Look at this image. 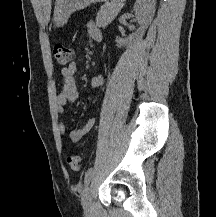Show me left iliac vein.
Here are the masks:
<instances>
[{
    "label": "left iliac vein",
    "mask_w": 216,
    "mask_h": 217,
    "mask_svg": "<svg viewBox=\"0 0 216 217\" xmlns=\"http://www.w3.org/2000/svg\"><path fill=\"white\" fill-rule=\"evenodd\" d=\"M82 205L85 211L87 212H89L92 209V198H91V191L89 186H87L84 190L82 196Z\"/></svg>",
    "instance_id": "left-iliac-vein-1"
}]
</instances>
